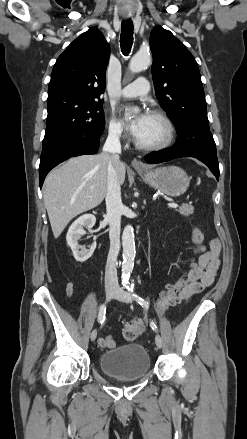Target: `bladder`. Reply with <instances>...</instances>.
I'll return each mask as SVG.
<instances>
[{"instance_id": "1", "label": "bladder", "mask_w": 247, "mask_h": 439, "mask_svg": "<svg viewBox=\"0 0 247 439\" xmlns=\"http://www.w3.org/2000/svg\"><path fill=\"white\" fill-rule=\"evenodd\" d=\"M100 368L109 377L132 381L144 377L150 370V357L144 346L128 344L104 352Z\"/></svg>"}]
</instances>
